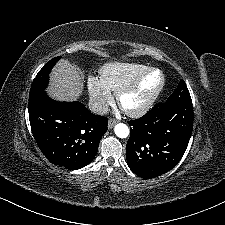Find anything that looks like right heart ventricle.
I'll return each instance as SVG.
<instances>
[{"label":"right heart ventricle","instance_id":"e07e8e85","mask_svg":"<svg viewBox=\"0 0 225 225\" xmlns=\"http://www.w3.org/2000/svg\"><path fill=\"white\" fill-rule=\"evenodd\" d=\"M147 67L139 63L110 62L100 69L101 80L118 93L132 83Z\"/></svg>","mask_w":225,"mask_h":225}]
</instances>
